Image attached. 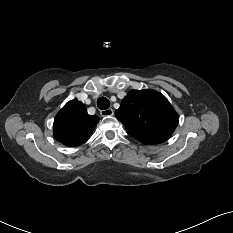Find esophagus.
<instances>
[{
    "label": "esophagus",
    "instance_id": "1",
    "mask_svg": "<svg viewBox=\"0 0 233 233\" xmlns=\"http://www.w3.org/2000/svg\"><path fill=\"white\" fill-rule=\"evenodd\" d=\"M100 114H101L102 117H110V116H112L114 114V111H113V109L108 108V109H105V110H101Z\"/></svg>",
    "mask_w": 233,
    "mask_h": 233
}]
</instances>
